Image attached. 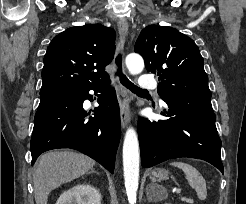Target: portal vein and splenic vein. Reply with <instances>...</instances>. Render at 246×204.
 Masks as SVG:
<instances>
[{"label": "portal vein and splenic vein", "instance_id": "18ae733b", "mask_svg": "<svg viewBox=\"0 0 246 204\" xmlns=\"http://www.w3.org/2000/svg\"><path fill=\"white\" fill-rule=\"evenodd\" d=\"M175 191H176L177 194H180L181 193V188H177Z\"/></svg>", "mask_w": 246, "mask_h": 204}]
</instances>
